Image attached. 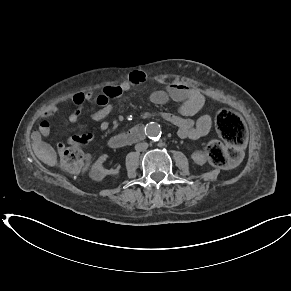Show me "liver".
<instances>
[{
  "label": "liver",
  "instance_id": "obj_1",
  "mask_svg": "<svg viewBox=\"0 0 291 291\" xmlns=\"http://www.w3.org/2000/svg\"><path fill=\"white\" fill-rule=\"evenodd\" d=\"M33 150L35 155L45 164L49 166H57V156L53 148L50 146L40 147L37 144H33Z\"/></svg>",
  "mask_w": 291,
  "mask_h": 291
}]
</instances>
